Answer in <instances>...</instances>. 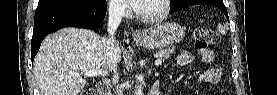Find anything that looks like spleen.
<instances>
[{
    "mask_svg": "<svg viewBox=\"0 0 277 95\" xmlns=\"http://www.w3.org/2000/svg\"><path fill=\"white\" fill-rule=\"evenodd\" d=\"M217 29H218L219 33H221L223 35L226 34V30H225V28L221 24H218V28Z\"/></svg>",
    "mask_w": 277,
    "mask_h": 95,
    "instance_id": "spleen-1",
    "label": "spleen"
}]
</instances>
